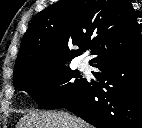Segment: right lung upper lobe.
Returning <instances> with one entry per match:
<instances>
[{
  "mask_svg": "<svg viewBox=\"0 0 142 128\" xmlns=\"http://www.w3.org/2000/svg\"><path fill=\"white\" fill-rule=\"evenodd\" d=\"M80 49L69 50L68 45ZM142 46L136 13L128 0H60L39 12L23 36L14 72L38 62L65 64L91 49L90 65Z\"/></svg>",
  "mask_w": 142,
  "mask_h": 128,
  "instance_id": "cb5924a9",
  "label": "right lung upper lobe"
}]
</instances>
